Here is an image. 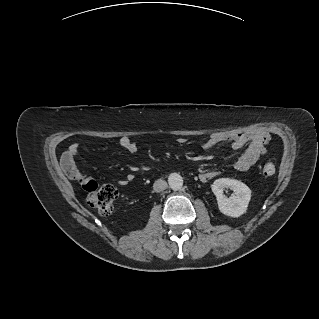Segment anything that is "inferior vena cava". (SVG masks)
Instances as JSON below:
<instances>
[{
    "instance_id": "602c4592",
    "label": "inferior vena cava",
    "mask_w": 319,
    "mask_h": 319,
    "mask_svg": "<svg viewBox=\"0 0 319 319\" xmlns=\"http://www.w3.org/2000/svg\"><path fill=\"white\" fill-rule=\"evenodd\" d=\"M167 182L163 179H158L153 184V189L155 192H162L167 188Z\"/></svg>"
}]
</instances>
